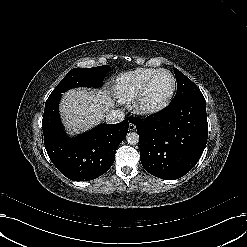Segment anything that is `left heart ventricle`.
Returning a JSON list of instances; mask_svg holds the SVG:
<instances>
[{
  "mask_svg": "<svg viewBox=\"0 0 247 247\" xmlns=\"http://www.w3.org/2000/svg\"><path fill=\"white\" fill-rule=\"evenodd\" d=\"M171 87L172 80L168 74L161 73L157 75L148 89L147 100L155 102L164 99L170 92Z\"/></svg>",
  "mask_w": 247,
  "mask_h": 247,
  "instance_id": "b2bd125f",
  "label": "left heart ventricle"
}]
</instances>
